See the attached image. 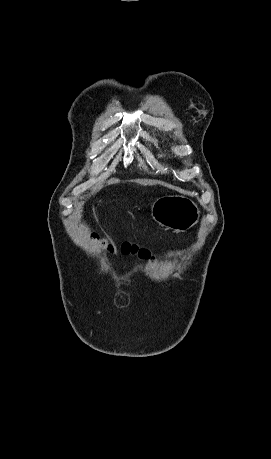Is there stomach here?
Here are the masks:
<instances>
[{
	"mask_svg": "<svg viewBox=\"0 0 271 459\" xmlns=\"http://www.w3.org/2000/svg\"><path fill=\"white\" fill-rule=\"evenodd\" d=\"M151 216L159 226L173 231H186L197 224L199 208L183 196H164L154 202Z\"/></svg>",
	"mask_w": 271,
	"mask_h": 459,
	"instance_id": "1",
	"label": "stomach"
}]
</instances>
